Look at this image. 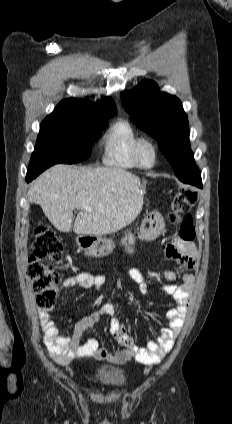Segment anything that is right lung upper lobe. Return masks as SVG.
Wrapping results in <instances>:
<instances>
[{
	"instance_id": "obj_1",
	"label": "right lung upper lobe",
	"mask_w": 232,
	"mask_h": 424,
	"mask_svg": "<svg viewBox=\"0 0 232 424\" xmlns=\"http://www.w3.org/2000/svg\"><path fill=\"white\" fill-rule=\"evenodd\" d=\"M117 112L112 99L107 98L99 104H91L87 100L69 98L61 101L53 113L79 115L94 120H102Z\"/></svg>"
}]
</instances>
